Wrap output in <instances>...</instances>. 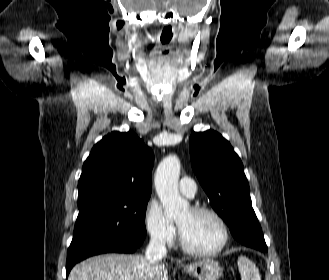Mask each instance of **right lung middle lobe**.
I'll list each match as a JSON object with an SVG mask.
<instances>
[{"mask_svg": "<svg viewBox=\"0 0 329 280\" xmlns=\"http://www.w3.org/2000/svg\"><path fill=\"white\" fill-rule=\"evenodd\" d=\"M149 198L119 196L78 200L79 214L67 254L92 240L141 245L146 236L145 211Z\"/></svg>", "mask_w": 329, "mask_h": 280, "instance_id": "1", "label": "right lung middle lobe"}]
</instances>
